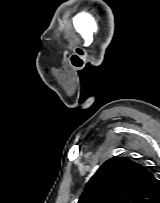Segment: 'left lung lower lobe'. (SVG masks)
<instances>
[{"label":"left lung lower lobe","instance_id":"0a47b994","mask_svg":"<svg viewBox=\"0 0 160 203\" xmlns=\"http://www.w3.org/2000/svg\"><path fill=\"white\" fill-rule=\"evenodd\" d=\"M156 203H160V198L158 199V201Z\"/></svg>","mask_w":160,"mask_h":203}]
</instances>
